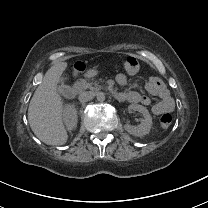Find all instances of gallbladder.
<instances>
[{
    "mask_svg": "<svg viewBox=\"0 0 208 208\" xmlns=\"http://www.w3.org/2000/svg\"><path fill=\"white\" fill-rule=\"evenodd\" d=\"M58 94L62 98H67L71 94V89L67 85H61L58 89Z\"/></svg>",
    "mask_w": 208,
    "mask_h": 208,
    "instance_id": "1",
    "label": "gallbladder"
}]
</instances>
